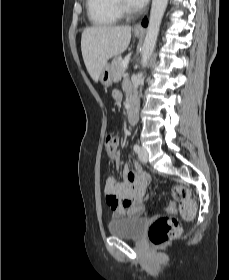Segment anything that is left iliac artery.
I'll return each instance as SVG.
<instances>
[{"label":"left iliac artery","instance_id":"1","mask_svg":"<svg viewBox=\"0 0 229 280\" xmlns=\"http://www.w3.org/2000/svg\"><path fill=\"white\" fill-rule=\"evenodd\" d=\"M133 150H134V152L138 153V152L140 151L139 145L135 144V145L133 146Z\"/></svg>","mask_w":229,"mask_h":280}]
</instances>
